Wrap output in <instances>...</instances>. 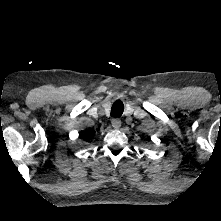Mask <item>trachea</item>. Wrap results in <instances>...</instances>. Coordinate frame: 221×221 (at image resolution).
<instances>
[{
  "mask_svg": "<svg viewBox=\"0 0 221 221\" xmlns=\"http://www.w3.org/2000/svg\"><path fill=\"white\" fill-rule=\"evenodd\" d=\"M124 111V105L121 101H116L111 108V116L120 117Z\"/></svg>",
  "mask_w": 221,
  "mask_h": 221,
  "instance_id": "1",
  "label": "trachea"
}]
</instances>
